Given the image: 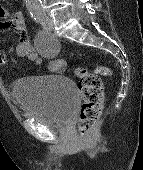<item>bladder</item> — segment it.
Segmentation results:
<instances>
[{
	"label": "bladder",
	"mask_w": 143,
	"mask_h": 170,
	"mask_svg": "<svg viewBox=\"0 0 143 170\" xmlns=\"http://www.w3.org/2000/svg\"><path fill=\"white\" fill-rule=\"evenodd\" d=\"M11 91L24 114L54 124L70 120L78 101L74 83L56 74L20 78Z\"/></svg>",
	"instance_id": "bladder-1"
}]
</instances>
